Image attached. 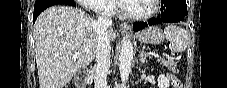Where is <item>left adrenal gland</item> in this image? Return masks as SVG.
Wrapping results in <instances>:
<instances>
[{"label": "left adrenal gland", "mask_w": 227, "mask_h": 88, "mask_svg": "<svg viewBox=\"0 0 227 88\" xmlns=\"http://www.w3.org/2000/svg\"><path fill=\"white\" fill-rule=\"evenodd\" d=\"M139 57H140L141 64H143V63H145L146 58L148 57V55L144 51H140Z\"/></svg>", "instance_id": "a2214340"}]
</instances>
